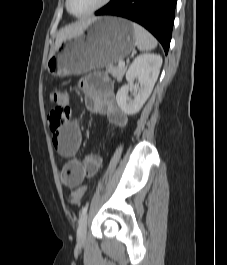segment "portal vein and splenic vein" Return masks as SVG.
<instances>
[{"label":"portal vein and splenic vein","instance_id":"obj_1","mask_svg":"<svg viewBox=\"0 0 227 265\" xmlns=\"http://www.w3.org/2000/svg\"><path fill=\"white\" fill-rule=\"evenodd\" d=\"M118 66H119V67H123V66H125V62H124V61H119V62H118Z\"/></svg>","mask_w":227,"mask_h":265}]
</instances>
